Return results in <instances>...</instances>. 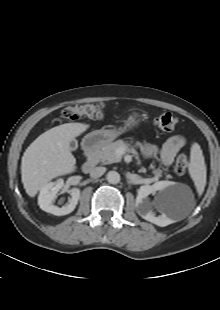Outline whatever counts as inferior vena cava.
<instances>
[{
    "label": "inferior vena cava",
    "mask_w": 220,
    "mask_h": 310,
    "mask_svg": "<svg viewBox=\"0 0 220 310\" xmlns=\"http://www.w3.org/2000/svg\"><path fill=\"white\" fill-rule=\"evenodd\" d=\"M106 172V168L105 167H95L91 173H90V176L92 178H98V177H101L104 173Z\"/></svg>",
    "instance_id": "inferior-vena-cava-1"
}]
</instances>
